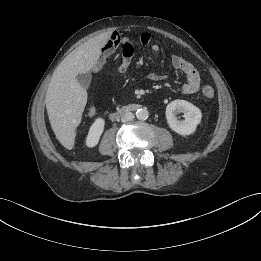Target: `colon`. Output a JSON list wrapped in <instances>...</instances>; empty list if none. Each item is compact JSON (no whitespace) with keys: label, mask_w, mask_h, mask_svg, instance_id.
Here are the masks:
<instances>
[{"label":"colon","mask_w":261,"mask_h":261,"mask_svg":"<svg viewBox=\"0 0 261 261\" xmlns=\"http://www.w3.org/2000/svg\"><path fill=\"white\" fill-rule=\"evenodd\" d=\"M202 97L205 99V100H212L215 96V91L212 87L210 86H205L203 87L202 89Z\"/></svg>","instance_id":"colon-1"}]
</instances>
